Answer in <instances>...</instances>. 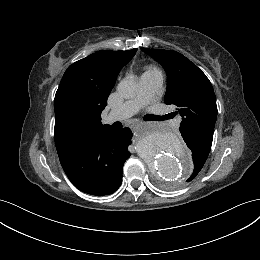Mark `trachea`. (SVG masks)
Segmentation results:
<instances>
[{
    "mask_svg": "<svg viewBox=\"0 0 260 260\" xmlns=\"http://www.w3.org/2000/svg\"><path fill=\"white\" fill-rule=\"evenodd\" d=\"M149 120H156V121H162L164 119H167V118H171L170 116L166 115V116H156V115H150L149 116Z\"/></svg>",
    "mask_w": 260,
    "mask_h": 260,
    "instance_id": "1",
    "label": "trachea"
}]
</instances>
